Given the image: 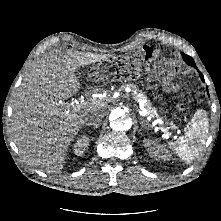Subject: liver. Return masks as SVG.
<instances>
[{"label":"liver","mask_w":221,"mask_h":221,"mask_svg":"<svg viewBox=\"0 0 221 221\" xmlns=\"http://www.w3.org/2000/svg\"><path fill=\"white\" fill-rule=\"evenodd\" d=\"M112 54L53 50L37 60L24 76L12 109L11 132L19 153L30 166L59 173L70 143L97 111L103 116L107 104L92 100L76 106L65 102L80 89L75 72L107 60Z\"/></svg>","instance_id":"6515ba94"}]
</instances>
